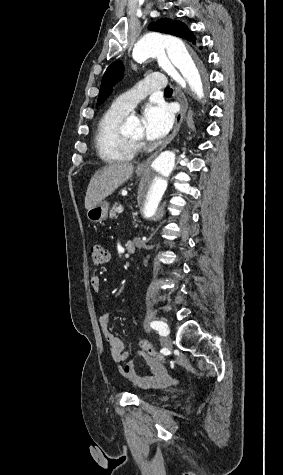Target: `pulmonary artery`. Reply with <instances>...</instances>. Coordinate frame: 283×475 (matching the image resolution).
<instances>
[{
	"instance_id": "pulmonary-artery-1",
	"label": "pulmonary artery",
	"mask_w": 283,
	"mask_h": 475,
	"mask_svg": "<svg viewBox=\"0 0 283 475\" xmlns=\"http://www.w3.org/2000/svg\"><path fill=\"white\" fill-rule=\"evenodd\" d=\"M168 80H137L136 87H128L126 93L112 103L115 107L130 111L144 96H153L154 89H168Z\"/></svg>"
}]
</instances>
